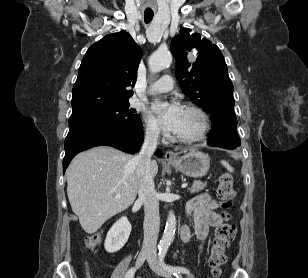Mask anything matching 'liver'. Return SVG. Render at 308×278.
<instances>
[{
    "instance_id": "6515ba94",
    "label": "liver",
    "mask_w": 308,
    "mask_h": 278,
    "mask_svg": "<svg viewBox=\"0 0 308 278\" xmlns=\"http://www.w3.org/2000/svg\"><path fill=\"white\" fill-rule=\"evenodd\" d=\"M134 159L115 148L99 146L72 160L66 171L67 195L85 232L95 233L106 220L133 204L138 191ZM157 172L158 164L153 160L152 176Z\"/></svg>"
}]
</instances>
